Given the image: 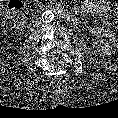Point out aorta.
I'll return each instance as SVG.
<instances>
[{
    "label": "aorta",
    "instance_id": "1",
    "mask_svg": "<svg viewBox=\"0 0 118 118\" xmlns=\"http://www.w3.org/2000/svg\"><path fill=\"white\" fill-rule=\"evenodd\" d=\"M54 19V13L51 10H46L41 15V20L44 23H50Z\"/></svg>",
    "mask_w": 118,
    "mask_h": 118
}]
</instances>
